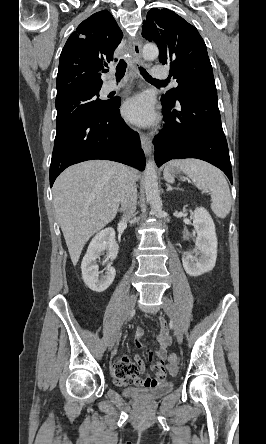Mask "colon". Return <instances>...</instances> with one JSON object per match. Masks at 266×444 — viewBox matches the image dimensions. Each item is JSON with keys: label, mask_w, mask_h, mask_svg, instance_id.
Returning a JSON list of instances; mask_svg holds the SVG:
<instances>
[{"label": "colon", "mask_w": 266, "mask_h": 444, "mask_svg": "<svg viewBox=\"0 0 266 444\" xmlns=\"http://www.w3.org/2000/svg\"><path fill=\"white\" fill-rule=\"evenodd\" d=\"M168 360H169V366L173 371H175L179 362L178 356L174 353H171L168 357Z\"/></svg>", "instance_id": "1"}]
</instances>
